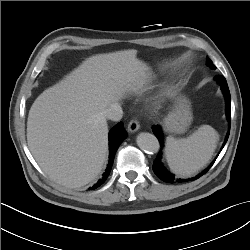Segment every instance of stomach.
Returning <instances> with one entry per match:
<instances>
[{
	"label": "stomach",
	"instance_id": "1",
	"mask_svg": "<svg viewBox=\"0 0 250 250\" xmlns=\"http://www.w3.org/2000/svg\"><path fill=\"white\" fill-rule=\"evenodd\" d=\"M175 108L164 118L165 131L169 133H184L192 121L189 100L184 96H177Z\"/></svg>",
	"mask_w": 250,
	"mask_h": 250
}]
</instances>
